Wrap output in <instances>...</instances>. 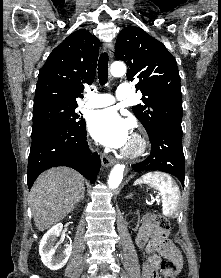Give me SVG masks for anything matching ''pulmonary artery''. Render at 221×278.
I'll return each instance as SVG.
<instances>
[{
    "mask_svg": "<svg viewBox=\"0 0 221 278\" xmlns=\"http://www.w3.org/2000/svg\"><path fill=\"white\" fill-rule=\"evenodd\" d=\"M130 97V86L127 83H123L119 85L116 97L110 94L89 92L84 106L87 108H101L112 105L117 99L123 100L129 99Z\"/></svg>",
    "mask_w": 221,
    "mask_h": 278,
    "instance_id": "pulmonary-artery-1",
    "label": "pulmonary artery"
}]
</instances>
